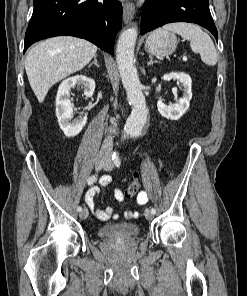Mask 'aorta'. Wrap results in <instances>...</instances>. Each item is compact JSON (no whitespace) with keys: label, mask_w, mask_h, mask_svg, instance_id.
I'll return each instance as SVG.
<instances>
[{"label":"aorta","mask_w":247,"mask_h":296,"mask_svg":"<svg viewBox=\"0 0 247 296\" xmlns=\"http://www.w3.org/2000/svg\"><path fill=\"white\" fill-rule=\"evenodd\" d=\"M137 27L125 29L119 36L116 47V62L121 80L127 93V100L132 112L126 122L125 132L128 135H140L147 121L148 109L142 92L137 69L134 66V48L137 40Z\"/></svg>","instance_id":"762f6f07"}]
</instances>
